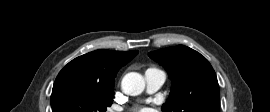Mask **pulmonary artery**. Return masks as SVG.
I'll return each instance as SVG.
<instances>
[{"label":"pulmonary artery","mask_w":270,"mask_h":112,"mask_svg":"<svg viewBox=\"0 0 270 112\" xmlns=\"http://www.w3.org/2000/svg\"><path fill=\"white\" fill-rule=\"evenodd\" d=\"M166 80V74L158 68H149L145 72L146 89L148 93L158 91Z\"/></svg>","instance_id":"1"}]
</instances>
